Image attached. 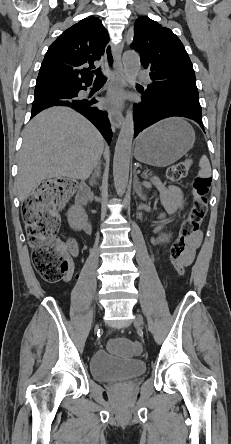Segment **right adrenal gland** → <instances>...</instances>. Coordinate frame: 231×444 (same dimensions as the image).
<instances>
[{"label": "right adrenal gland", "mask_w": 231, "mask_h": 444, "mask_svg": "<svg viewBox=\"0 0 231 444\" xmlns=\"http://www.w3.org/2000/svg\"><path fill=\"white\" fill-rule=\"evenodd\" d=\"M101 163L98 162L97 165L95 166V170L94 173L92 174L91 178H90V185L93 186L95 184V179L98 178L101 174Z\"/></svg>", "instance_id": "right-adrenal-gland-1"}]
</instances>
